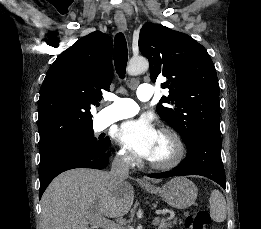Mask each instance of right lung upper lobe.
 Returning a JSON list of instances; mask_svg holds the SVG:
<instances>
[{
  "mask_svg": "<svg viewBox=\"0 0 261 229\" xmlns=\"http://www.w3.org/2000/svg\"><path fill=\"white\" fill-rule=\"evenodd\" d=\"M111 40L92 32L62 52L49 68L38 101L39 150L67 143L93 130L90 108L110 91Z\"/></svg>",
  "mask_w": 261,
  "mask_h": 229,
  "instance_id": "cb5924a9",
  "label": "right lung upper lobe"
}]
</instances>
